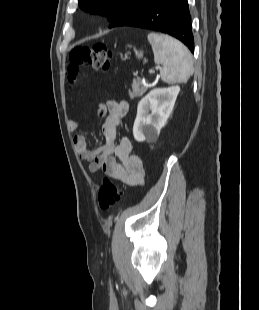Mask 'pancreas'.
Returning a JSON list of instances; mask_svg holds the SVG:
<instances>
[{"mask_svg":"<svg viewBox=\"0 0 259 310\" xmlns=\"http://www.w3.org/2000/svg\"><path fill=\"white\" fill-rule=\"evenodd\" d=\"M131 86L132 91H129V96L131 99L140 97L147 91L146 82L138 78L133 79Z\"/></svg>","mask_w":259,"mask_h":310,"instance_id":"cf45deb5","label":"pancreas"}]
</instances>
